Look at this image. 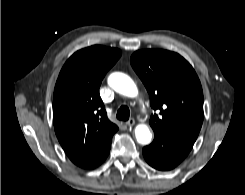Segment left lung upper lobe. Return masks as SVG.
<instances>
[{"label":"left lung upper lobe","mask_w":245,"mask_h":195,"mask_svg":"<svg viewBox=\"0 0 245 195\" xmlns=\"http://www.w3.org/2000/svg\"><path fill=\"white\" fill-rule=\"evenodd\" d=\"M131 65L144 83L156 132H168L195 142L203 122V92L192 66L179 54L166 50H139Z\"/></svg>","instance_id":"5c2ea615"}]
</instances>
